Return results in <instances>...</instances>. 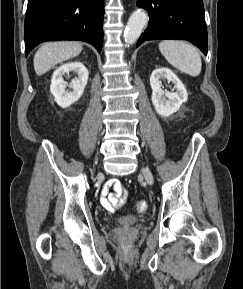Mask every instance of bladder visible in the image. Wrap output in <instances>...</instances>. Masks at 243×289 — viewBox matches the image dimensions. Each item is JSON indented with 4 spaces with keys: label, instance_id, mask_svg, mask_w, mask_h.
<instances>
[{
    "label": "bladder",
    "instance_id": "bladder-1",
    "mask_svg": "<svg viewBox=\"0 0 243 289\" xmlns=\"http://www.w3.org/2000/svg\"><path fill=\"white\" fill-rule=\"evenodd\" d=\"M141 219L133 215L121 216L117 219V223L120 225H133L139 223Z\"/></svg>",
    "mask_w": 243,
    "mask_h": 289
}]
</instances>
